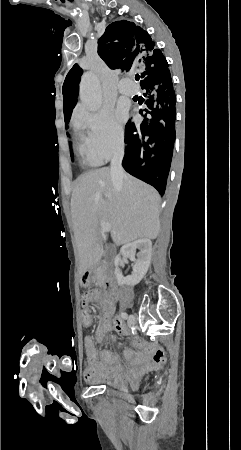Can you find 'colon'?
<instances>
[{
  "instance_id": "5ec220e1",
  "label": "colon",
  "mask_w": 241,
  "mask_h": 450,
  "mask_svg": "<svg viewBox=\"0 0 241 450\" xmlns=\"http://www.w3.org/2000/svg\"><path fill=\"white\" fill-rule=\"evenodd\" d=\"M79 323L83 324L86 328H91L93 326V316L84 312L80 313Z\"/></svg>"
}]
</instances>
